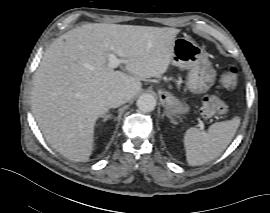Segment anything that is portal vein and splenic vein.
Listing matches in <instances>:
<instances>
[{"mask_svg": "<svg viewBox=\"0 0 270 213\" xmlns=\"http://www.w3.org/2000/svg\"><path fill=\"white\" fill-rule=\"evenodd\" d=\"M109 63L108 66L110 68H116L120 63H122V60L118 59L114 54H109ZM200 129L204 132L205 127L202 121L199 122Z\"/></svg>", "mask_w": 270, "mask_h": 213, "instance_id": "portal-vein-and-splenic-vein-1", "label": "portal vein and splenic vein"}]
</instances>
